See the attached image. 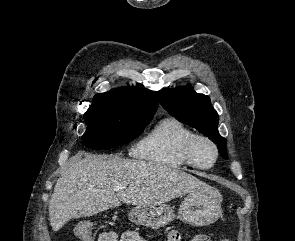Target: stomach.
Returning <instances> with one entry per match:
<instances>
[{"label": "stomach", "instance_id": "obj_1", "mask_svg": "<svg viewBox=\"0 0 295 241\" xmlns=\"http://www.w3.org/2000/svg\"><path fill=\"white\" fill-rule=\"evenodd\" d=\"M222 196L218 190L210 187L207 190L189 193L180 205L178 215L173 213L167 204L137 205L129 212L132 222L159 229L174 218L192 226L210 225L218 220L222 213Z\"/></svg>", "mask_w": 295, "mask_h": 241}]
</instances>
